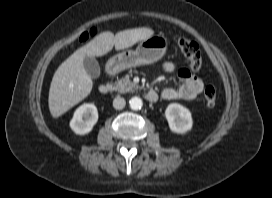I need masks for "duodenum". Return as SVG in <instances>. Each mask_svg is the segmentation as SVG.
I'll use <instances>...</instances> for the list:
<instances>
[{
  "label": "duodenum",
  "instance_id": "1",
  "mask_svg": "<svg viewBox=\"0 0 272 198\" xmlns=\"http://www.w3.org/2000/svg\"><path fill=\"white\" fill-rule=\"evenodd\" d=\"M109 73L113 74L114 70L110 67L109 68ZM112 91V85L110 84H102L99 87V92L103 95L109 94ZM146 98L149 102H155L157 100V94L155 91H149L146 95Z\"/></svg>",
  "mask_w": 272,
  "mask_h": 198
}]
</instances>
